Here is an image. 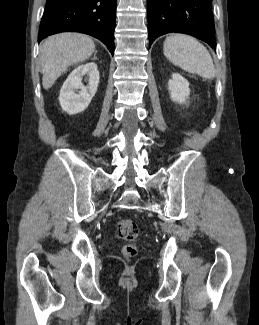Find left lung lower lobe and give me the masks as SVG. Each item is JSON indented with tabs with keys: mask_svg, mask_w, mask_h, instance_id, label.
Listing matches in <instances>:
<instances>
[{
	"mask_svg": "<svg viewBox=\"0 0 259 325\" xmlns=\"http://www.w3.org/2000/svg\"><path fill=\"white\" fill-rule=\"evenodd\" d=\"M149 43L166 33L192 35L216 49L212 0H147Z\"/></svg>",
	"mask_w": 259,
	"mask_h": 325,
	"instance_id": "obj_1",
	"label": "left lung lower lobe"
}]
</instances>
